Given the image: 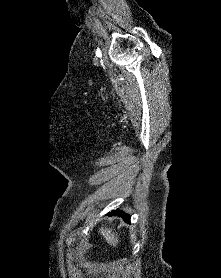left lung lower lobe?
Here are the masks:
<instances>
[{
  "label": "left lung lower lobe",
  "instance_id": "1",
  "mask_svg": "<svg viewBox=\"0 0 221 278\" xmlns=\"http://www.w3.org/2000/svg\"><path fill=\"white\" fill-rule=\"evenodd\" d=\"M112 214L113 215H121V216H123V218L126 222H130V216L129 215H126V214H124L120 211H117V210L113 211Z\"/></svg>",
  "mask_w": 221,
  "mask_h": 278
}]
</instances>
